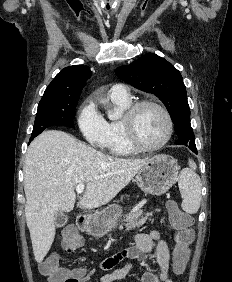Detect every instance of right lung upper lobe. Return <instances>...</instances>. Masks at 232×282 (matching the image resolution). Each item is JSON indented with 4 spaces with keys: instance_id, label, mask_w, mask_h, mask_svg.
<instances>
[{
    "instance_id": "right-lung-upper-lobe-1",
    "label": "right lung upper lobe",
    "mask_w": 232,
    "mask_h": 282,
    "mask_svg": "<svg viewBox=\"0 0 232 282\" xmlns=\"http://www.w3.org/2000/svg\"><path fill=\"white\" fill-rule=\"evenodd\" d=\"M87 66L75 65L62 69L46 88L43 97H65L81 93L85 81L91 77Z\"/></svg>"
}]
</instances>
